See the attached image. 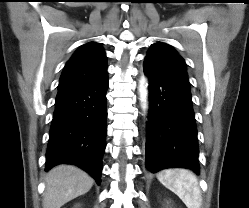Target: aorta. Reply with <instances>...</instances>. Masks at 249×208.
I'll return each mask as SVG.
<instances>
[{
	"mask_svg": "<svg viewBox=\"0 0 249 208\" xmlns=\"http://www.w3.org/2000/svg\"><path fill=\"white\" fill-rule=\"evenodd\" d=\"M139 93H140V100L142 103V107H143V109H146L147 108L148 91H147V82H146L145 78H142L140 80Z\"/></svg>",
	"mask_w": 249,
	"mask_h": 208,
	"instance_id": "762f6f07",
	"label": "aorta"
}]
</instances>
